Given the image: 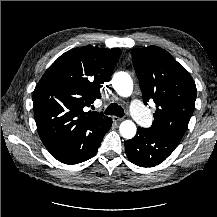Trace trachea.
Listing matches in <instances>:
<instances>
[{
  "label": "trachea",
  "mask_w": 217,
  "mask_h": 217,
  "mask_svg": "<svg viewBox=\"0 0 217 217\" xmlns=\"http://www.w3.org/2000/svg\"><path fill=\"white\" fill-rule=\"evenodd\" d=\"M104 114L106 115H115L117 117H123L124 116V110L121 106H119L116 103H111L106 110L104 111Z\"/></svg>",
  "instance_id": "1"
}]
</instances>
